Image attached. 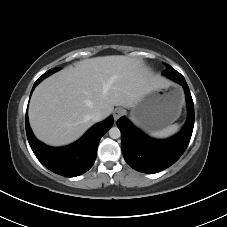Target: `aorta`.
<instances>
[{
    "label": "aorta",
    "mask_w": 227,
    "mask_h": 227,
    "mask_svg": "<svg viewBox=\"0 0 227 227\" xmlns=\"http://www.w3.org/2000/svg\"><path fill=\"white\" fill-rule=\"evenodd\" d=\"M109 136L112 139H118L121 136V132H120L119 128L118 127H112L109 130Z\"/></svg>",
    "instance_id": "obj_1"
}]
</instances>
